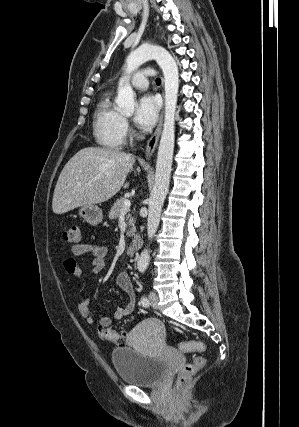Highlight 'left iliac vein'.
<instances>
[{
	"instance_id": "obj_1",
	"label": "left iliac vein",
	"mask_w": 299,
	"mask_h": 427,
	"mask_svg": "<svg viewBox=\"0 0 299 427\" xmlns=\"http://www.w3.org/2000/svg\"><path fill=\"white\" fill-rule=\"evenodd\" d=\"M158 301H159V299H158L157 294L155 292L151 291L149 293V302H150V305L153 308L157 309L158 308Z\"/></svg>"
}]
</instances>
